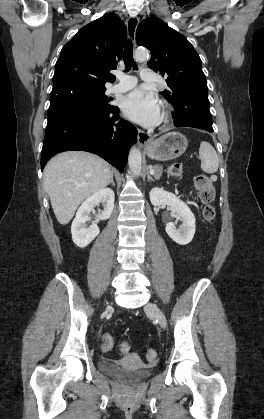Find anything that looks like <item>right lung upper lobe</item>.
<instances>
[{"mask_svg":"<svg viewBox=\"0 0 264 419\" xmlns=\"http://www.w3.org/2000/svg\"><path fill=\"white\" fill-rule=\"evenodd\" d=\"M127 37L124 22L107 14L81 28L62 48L51 95L71 88H105L114 82L110 70L122 58Z\"/></svg>","mask_w":264,"mask_h":419,"instance_id":"1","label":"right lung upper lobe"}]
</instances>
